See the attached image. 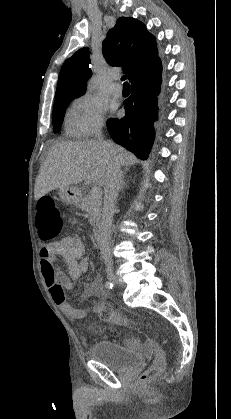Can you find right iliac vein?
Segmentation results:
<instances>
[{
    "mask_svg": "<svg viewBox=\"0 0 231 419\" xmlns=\"http://www.w3.org/2000/svg\"><path fill=\"white\" fill-rule=\"evenodd\" d=\"M107 275H108V278H109V280L112 282V283H117V279H116V276H115V274L113 273V271H112V269H108L107 270Z\"/></svg>",
    "mask_w": 231,
    "mask_h": 419,
    "instance_id": "63e3f726",
    "label": "right iliac vein"
}]
</instances>
